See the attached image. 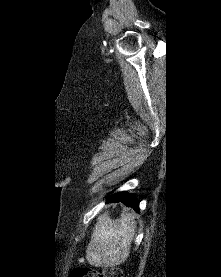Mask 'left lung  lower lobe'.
I'll list each match as a JSON object with an SVG mask.
<instances>
[{
    "label": "left lung lower lobe",
    "instance_id": "left-lung-lower-lobe-1",
    "mask_svg": "<svg viewBox=\"0 0 221 277\" xmlns=\"http://www.w3.org/2000/svg\"><path fill=\"white\" fill-rule=\"evenodd\" d=\"M108 202H123L125 205L139 211V201L132 194L118 192L108 197Z\"/></svg>",
    "mask_w": 221,
    "mask_h": 277
}]
</instances>
